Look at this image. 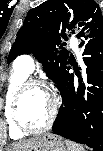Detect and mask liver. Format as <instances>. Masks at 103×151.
<instances>
[{
	"mask_svg": "<svg viewBox=\"0 0 103 151\" xmlns=\"http://www.w3.org/2000/svg\"><path fill=\"white\" fill-rule=\"evenodd\" d=\"M37 138H31L29 140H24L13 144V146L8 151H27L31 145L36 141Z\"/></svg>",
	"mask_w": 103,
	"mask_h": 151,
	"instance_id": "6515ba94",
	"label": "liver"
}]
</instances>
